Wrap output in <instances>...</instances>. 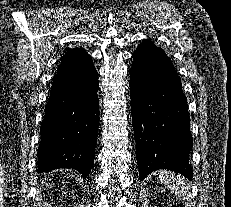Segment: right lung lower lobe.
<instances>
[{
	"instance_id": "right-lung-lower-lobe-1",
	"label": "right lung lower lobe",
	"mask_w": 231,
	"mask_h": 207,
	"mask_svg": "<svg viewBox=\"0 0 231 207\" xmlns=\"http://www.w3.org/2000/svg\"><path fill=\"white\" fill-rule=\"evenodd\" d=\"M98 89L90 56L74 68L58 66L40 127L38 172L72 168L83 178L90 174L100 120Z\"/></svg>"
}]
</instances>
